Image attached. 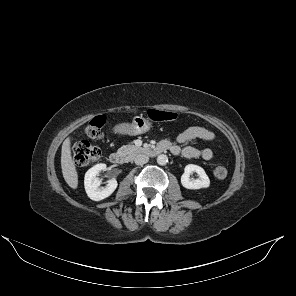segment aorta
Listing matches in <instances>:
<instances>
[{
    "instance_id": "aorta-1",
    "label": "aorta",
    "mask_w": 296,
    "mask_h": 296,
    "mask_svg": "<svg viewBox=\"0 0 296 296\" xmlns=\"http://www.w3.org/2000/svg\"><path fill=\"white\" fill-rule=\"evenodd\" d=\"M167 162H168V157L166 156V155H164V154H161V155H159L158 157H157V163L159 164V165H166L167 164Z\"/></svg>"
}]
</instances>
